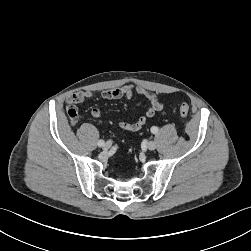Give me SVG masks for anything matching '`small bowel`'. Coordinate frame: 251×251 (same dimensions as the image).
<instances>
[{"label": "small bowel", "instance_id": "obj_1", "mask_svg": "<svg viewBox=\"0 0 251 251\" xmlns=\"http://www.w3.org/2000/svg\"><path fill=\"white\" fill-rule=\"evenodd\" d=\"M136 94L144 96L148 101V108L145 114L140 116L135 122L121 121L119 123L121 129L129 132H136L139 131L156 113H162L164 111V105L158 95L155 92L144 89L140 86L127 84L121 87L102 91L98 95L91 91H77L67 98L66 105L68 111L71 108H74L77 111L76 105L83 102L85 99L98 97L105 100H116L124 97L131 98ZM91 115L92 117L98 119L101 117V110L98 107H93L91 109Z\"/></svg>", "mask_w": 251, "mask_h": 251}]
</instances>
